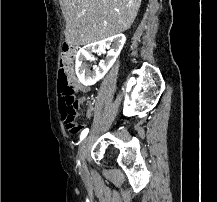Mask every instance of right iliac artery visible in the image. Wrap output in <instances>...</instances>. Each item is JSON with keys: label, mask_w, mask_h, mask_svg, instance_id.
I'll return each mask as SVG.
<instances>
[{"label": "right iliac artery", "mask_w": 217, "mask_h": 202, "mask_svg": "<svg viewBox=\"0 0 217 202\" xmlns=\"http://www.w3.org/2000/svg\"><path fill=\"white\" fill-rule=\"evenodd\" d=\"M88 132H89L88 128H86L82 131V133L80 135V142L87 136Z\"/></svg>", "instance_id": "1"}]
</instances>
